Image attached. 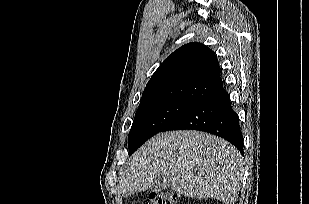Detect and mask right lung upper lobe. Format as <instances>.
I'll return each instance as SVG.
<instances>
[{"label":"right lung upper lobe","instance_id":"right-lung-upper-lobe-1","mask_svg":"<svg viewBox=\"0 0 309 204\" xmlns=\"http://www.w3.org/2000/svg\"><path fill=\"white\" fill-rule=\"evenodd\" d=\"M224 91L215 53L200 43L186 44L173 52L155 71L140 104L160 100L199 103Z\"/></svg>","mask_w":309,"mask_h":204}]
</instances>
